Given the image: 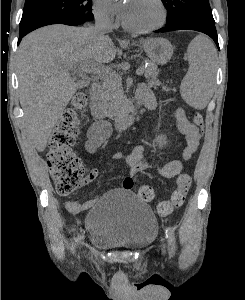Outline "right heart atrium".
<instances>
[{
    "label": "right heart atrium",
    "instance_id": "obj_1",
    "mask_svg": "<svg viewBox=\"0 0 245 300\" xmlns=\"http://www.w3.org/2000/svg\"><path fill=\"white\" fill-rule=\"evenodd\" d=\"M93 13L101 23L113 24L115 21V9L110 0H93Z\"/></svg>",
    "mask_w": 245,
    "mask_h": 300
}]
</instances>
